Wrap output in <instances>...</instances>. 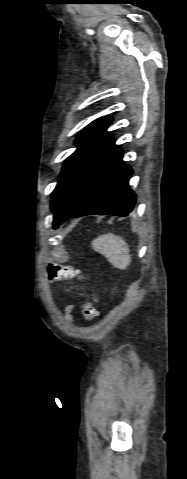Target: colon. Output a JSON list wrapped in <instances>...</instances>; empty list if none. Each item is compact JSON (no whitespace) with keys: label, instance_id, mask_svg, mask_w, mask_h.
<instances>
[{"label":"colon","instance_id":"1","mask_svg":"<svg viewBox=\"0 0 187 479\" xmlns=\"http://www.w3.org/2000/svg\"><path fill=\"white\" fill-rule=\"evenodd\" d=\"M48 273L51 280L70 277L74 274V270L70 267L52 264L48 267ZM82 313L86 321H93L97 316V310L90 301H85L82 305Z\"/></svg>","mask_w":187,"mask_h":479}]
</instances>
